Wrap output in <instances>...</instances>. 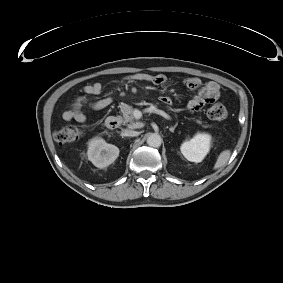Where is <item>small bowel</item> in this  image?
Segmentation results:
<instances>
[{
	"mask_svg": "<svg viewBox=\"0 0 283 283\" xmlns=\"http://www.w3.org/2000/svg\"><path fill=\"white\" fill-rule=\"evenodd\" d=\"M128 82H151L156 85H162L165 82V78L157 77L149 73L138 72L128 76ZM188 87L197 89L196 94L188 102L187 108L190 111H198L202 109L206 104L214 102L219 98L220 90L219 85L214 81H208L205 84H201L198 78H191L186 80ZM102 91V85L98 82L90 83L82 88L83 96L78 97L69 109L63 113V119L65 121H86V115L82 112V107L89 105L94 110H102L107 108L111 103L110 97L98 99L96 101L88 102L85 95H98ZM162 101L166 104H171V99L167 96L162 97Z\"/></svg>",
	"mask_w": 283,
	"mask_h": 283,
	"instance_id": "small-bowel-1",
	"label": "small bowel"
}]
</instances>
